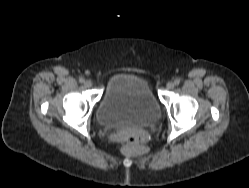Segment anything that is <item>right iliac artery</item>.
Listing matches in <instances>:
<instances>
[{
    "instance_id": "right-iliac-artery-1",
    "label": "right iliac artery",
    "mask_w": 249,
    "mask_h": 188,
    "mask_svg": "<svg viewBox=\"0 0 249 188\" xmlns=\"http://www.w3.org/2000/svg\"><path fill=\"white\" fill-rule=\"evenodd\" d=\"M84 81H85V80H84L83 77H80V78H79V82H80V83H84Z\"/></svg>"
}]
</instances>
